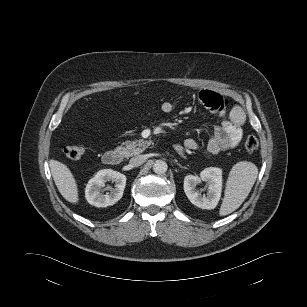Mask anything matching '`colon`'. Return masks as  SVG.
I'll use <instances>...</instances> for the list:
<instances>
[{
    "mask_svg": "<svg viewBox=\"0 0 307 307\" xmlns=\"http://www.w3.org/2000/svg\"><path fill=\"white\" fill-rule=\"evenodd\" d=\"M244 146L248 152H254L259 146L258 139L255 136L250 135L246 138ZM83 152L84 150L80 146L71 145L64 148L65 156L73 161L79 160L83 155Z\"/></svg>",
    "mask_w": 307,
    "mask_h": 307,
    "instance_id": "1",
    "label": "colon"
}]
</instances>
